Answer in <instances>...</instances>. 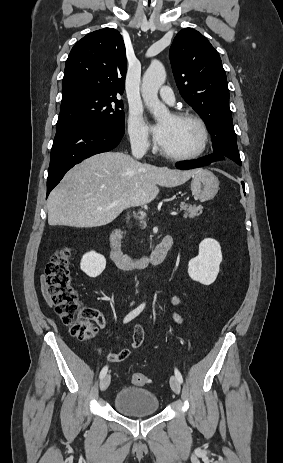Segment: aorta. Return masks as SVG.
<instances>
[{"instance_id": "obj_1", "label": "aorta", "mask_w": 283, "mask_h": 463, "mask_svg": "<svg viewBox=\"0 0 283 463\" xmlns=\"http://www.w3.org/2000/svg\"><path fill=\"white\" fill-rule=\"evenodd\" d=\"M165 79L166 71L159 61L151 63L142 79L141 93L144 103L156 120H161L168 115L166 106L158 98L159 88Z\"/></svg>"}]
</instances>
